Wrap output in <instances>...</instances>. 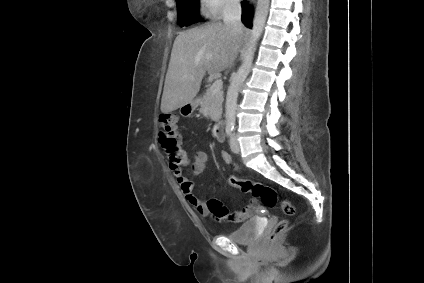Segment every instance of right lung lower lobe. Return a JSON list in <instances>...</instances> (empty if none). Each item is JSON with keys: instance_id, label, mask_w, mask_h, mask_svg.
I'll return each instance as SVG.
<instances>
[{"instance_id": "98d812e1", "label": "right lung lower lobe", "mask_w": 424, "mask_h": 283, "mask_svg": "<svg viewBox=\"0 0 424 283\" xmlns=\"http://www.w3.org/2000/svg\"><path fill=\"white\" fill-rule=\"evenodd\" d=\"M252 11L247 1L242 2V22L246 27L252 26Z\"/></svg>"}]
</instances>
